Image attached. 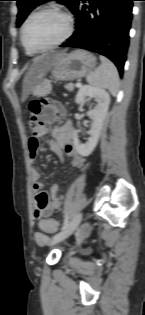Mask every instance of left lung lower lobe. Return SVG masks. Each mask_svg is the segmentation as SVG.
Wrapping results in <instances>:
<instances>
[{"label":"left lung lower lobe","instance_id":"1","mask_svg":"<svg viewBox=\"0 0 145 315\" xmlns=\"http://www.w3.org/2000/svg\"><path fill=\"white\" fill-rule=\"evenodd\" d=\"M132 1L79 0L73 11L76 31L61 47H78L104 55L122 75L129 46Z\"/></svg>","mask_w":145,"mask_h":315}]
</instances>
